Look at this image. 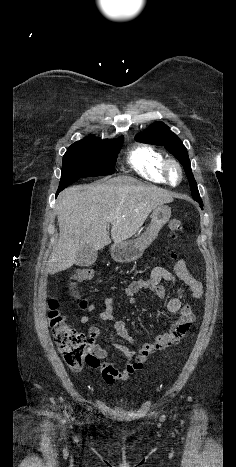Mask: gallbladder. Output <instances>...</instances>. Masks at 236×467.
Listing matches in <instances>:
<instances>
[{
  "label": "gallbladder",
  "instance_id": "gallbladder-1",
  "mask_svg": "<svg viewBox=\"0 0 236 467\" xmlns=\"http://www.w3.org/2000/svg\"><path fill=\"white\" fill-rule=\"evenodd\" d=\"M96 259L97 250L91 245H85L77 252L75 264L81 267H88L93 265Z\"/></svg>",
  "mask_w": 236,
  "mask_h": 467
}]
</instances>
